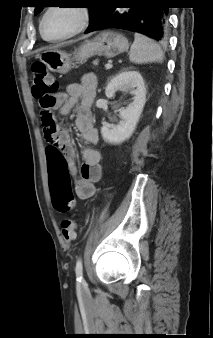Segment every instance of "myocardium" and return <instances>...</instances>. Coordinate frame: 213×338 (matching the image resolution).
Listing matches in <instances>:
<instances>
[{
    "mask_svg": "<svg viewBox=\"0 0 213 338\" xmlns=\"http://www.w3.org/2000/svg\"><path fill=\"white\" fill-rule=\"evenodd\" d=\"M59 7H50L48 8L42 15L41 17V20H40V24H39V31H40V34H41V37L47 41V42H59V41H63V40H66V39H70L72 37H75L76 35L80 34L81 32H83L89 25V22H90V11L87 7L85 6H82V5H69L65 8H70V9H74V10H77L78 13L80 14V22L78 24V26L71 32L63 35V36H60V37H57V38H47L45 35H44V32H43V27H44V22H45V19L46 17L48 16V14L53 11L54 9H57Z\"/></svg>",
    "mask_w": 213,
    "mask_h": 338,
    "instance_id": "f54148a6",
    "label": "myocardium"
}]
</instances>
